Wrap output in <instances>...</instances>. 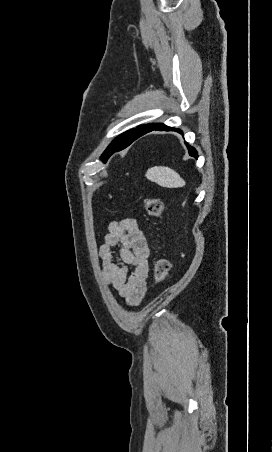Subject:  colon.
I'll return each mask as SVG.
<instances>
[{"mask_svg": "<svg viewBox=\"0 0 272 452\" xmlns=\"http://www.w3.org/2000/svg\"><path fill=\"white\" fill-rule=\"evenodd\" d=\"M144 207L147 214L151 218H160L163 212V203L157 197L146 198L144 201ZM170 270V261L165 257H160L155 262L154 268V282L156 285L162 284L167 278Z\"/></svg>", "mask_w": 272, "mask_h": 452, "instance_id": "5ec220e1", "label": "colon"}]
</instances>
